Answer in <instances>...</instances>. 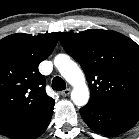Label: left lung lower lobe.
<instances>
[{
    "label": "left lung lower lobe",
    "mask_w": 139,
    "mask_h": 139,
    "mask_svg": "<svg viewBox=\"0 0 139 139\" xmlns=\"http://www.w3.org/2000/svg\"><path fill=\"white\" fill-rule=\"evenodd\" d=\"M80 114L86 124L95 132L115 136L126 132L139 120V102L112 108L87 104L80 109Z\"/></svg>",
    "instance_id": "obj_1"
}]
</instances>
